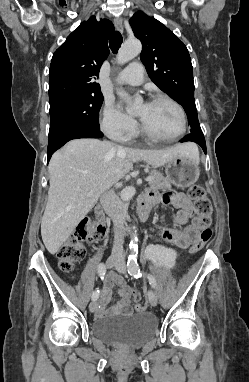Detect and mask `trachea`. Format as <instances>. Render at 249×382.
Returning <instances> with one entry per match:
<instances>
[{"mask_svg":"<svg viewBox=\"0 0 249 382\" xmlns=\"http://www.w3.org/2000/svg\"><path fill=\"white\" fill-rule=\"evenodd\" d=\"M122 41H123V38L120 32L118 31L114 32L109 40V45L112 52L117 53V51L119 50L122 44Z\"/></svg>","mask_w":249,"mask_h":382,"instance_id":"3493384b","label":"trachea"}]
</instances>
